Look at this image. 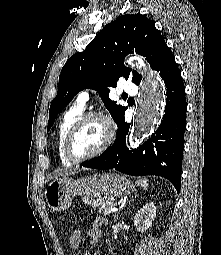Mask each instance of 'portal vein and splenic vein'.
<instances>
[{"label": "portal vein and splenic vein", "mask_w": 221, "mask_h": 255, "mask_svg": "<svg viewBox=\"0 0 221 255\" xmlns=\"http://www.w3.org/2000/svg\"><path fill=\"white\" fill-rule=\"evenodd\" d=\"M117 210L118 208H115V207L111 208V212H116Z\"/></svg>", "instance_id": "1"}]
</instances>
